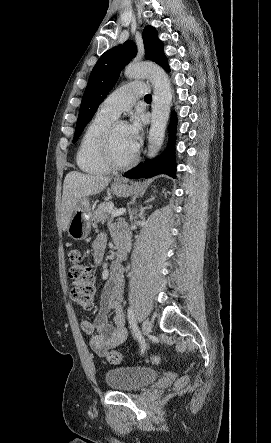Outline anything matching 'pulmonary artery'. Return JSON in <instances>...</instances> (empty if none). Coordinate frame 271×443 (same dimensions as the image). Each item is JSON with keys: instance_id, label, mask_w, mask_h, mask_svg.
Here are the masks:
<instances>
[{"instance_id": "obj_1", "label": "pulmonary artery", "mask_w": 271, "mask_h": 443, "mask_svg": "<svg viewBox=\"0 0 271 443\" xmlns=\"http://www.w3.org/2000/svg\"><path fill=\"white\" fill-rule=\"evenodd\" d=\"M144 93V85L133 82L110 93L99 106V112L117 118L123 111L130 109Z\"/></svg>"}]
</instances>
